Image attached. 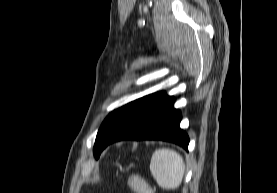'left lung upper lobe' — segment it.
<instances>
[{
    "label": "left lung upper lobe",
    "instance_id": "1",
    "mask_svg": "<svg viewBox=\"0 0 277 193\" xmlns=\"http://www.w3.org/2000/svg\"><path fill=\"white\" fill-rule=\"evenodd\" d=\"M134 102V101H133ZM133 102L117 109L114 110L112 113H110L106 119L103 121L101 127L99 128V131L97 133V137H96V141H95V145L93 148V152H94V156L97 159L100 154H101V149H100V141L101 138L103 137V135L105 134V132L107 131V129L110 127L111 123L114 121V119L116 117H118L130 104H132Z\"/></svg>",
    "mask_w": 277,
    "mask_h": 193
}]
</instances>
